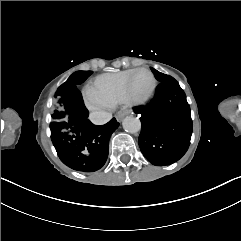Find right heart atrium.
<instances>
[{
  "label": "right heart atrium",
  "mask_w": 241,
  "mask_h": 241,
  "mask_svg": "<svg viewBox=\"0 0 241 241\" xmlns=\"http://www.w3.org/2000/svg\"><path fill=\"white\" fill-rule=\"evenodd\" d=\"M84 100L88 108L93 111H106L110 107L107 103L100 99L89 98L85 96Z\"/></svg>",
  "instance_id": "1"
}]
</instances>
